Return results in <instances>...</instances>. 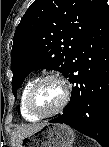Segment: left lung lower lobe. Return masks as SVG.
<instances>
[{
	"label": "left lung lower lobe",
	"mask_w": 109,
	"mask_h": 147,
	"mask_svg": "<svg viewBox=\"0 0 109 147\" xmlns=\"http://www.w3.org/2000/svg\"><path fill=\"white\" fill-rule=\"evenodd\" d=\"M69 81L71 99L62 115L51 120L64 123L109 145V6L106 5L81 39Z\"/></svg>",
	"instance_id": "0a47b994"
}]
</instances>
